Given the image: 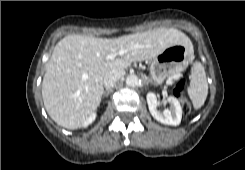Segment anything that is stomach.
<instances>
[{"mask_svg": "<svg viewBox=\"0 0 245 170\" xmlns=\"http://www.w3.org/2000/svg\"><path fill=\"white\" fill-rule=\"evenodd\" d=\"M193 59V52L185 45H174L150 58L151 81L162 85L168 78L182 72Z\"/></svg>", "mask_w": 245, "mask_h": 170, "instance_id": "0dacf381", "label": "stomach"}]
</instances>
